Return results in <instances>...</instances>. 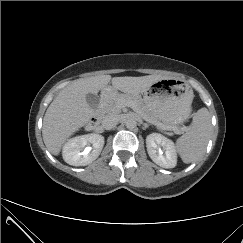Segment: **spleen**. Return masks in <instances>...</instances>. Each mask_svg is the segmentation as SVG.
<instances>
[{"label":"spleen","mask_w":243,"mask_h":243,"mask_svg":"<svg viewBox=\"0 0 243 243\" xmlns=\"http://www.w3.org/2000/svg\"><path fill=\"white\" fill-rule=\"evenodd\" d=\"M211 129L210 113L203 107L194 114L187 132L176 140V150L184 163H192L205 153Z\"/></svg>","instance_id":"spleen-1"}]
</instances>
